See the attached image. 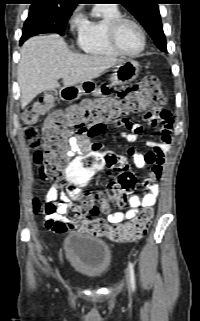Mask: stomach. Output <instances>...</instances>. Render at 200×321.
<instances>
[{
    "label": "stomach",
    "mask_w": 200,
    "mask_h": 321,
    "mask_svg": "<svg viewBox=\"0 0 200 321\" xmlns=\"http://www.w3.org/2000/svg\"><path fill=\"white\" fill-rule=\"evenodd\" d=\"M139 63L129 59L113 67V74L110 77V83L114 85H123L132 82L138 77ZM96 86L93 81L80 83L79 85L64 87L60 91V97L63 100L73 101L80 96L95 92Z\"/></svg>",
    "instance_id": "1"
}]
</instances>
